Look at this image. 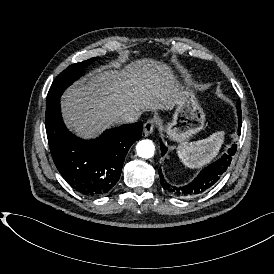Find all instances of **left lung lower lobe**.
<instances>
[{"instance_id": "left-lung-lower-lobe-1", "label": "left lung lower lobe", "mask_w": 274, "mask_h": 274, "mask_svg": "<svg viewBox=\"0 0 274 274\" xmlns=\"http://www.w3.org/2000/svg\"><path fill=\"white\" fill-rule=\"evenodd\" d=\"M237 110H238V118H239V126H238V134L241 133V103L238 99L237 101ZM161 143V152L164 155L167 151V147L160 141ZM237 149V145L233 144L230 149H228L227 154H224L219 160L210 166L206 167L201 171V173L188 185L183 187H175L170 186L163 177L161 169H159L158 173L160 176V183L164 189L170 191L176 196L182 197H191L201 195L207 192L225 173L228 166L231 163L232 156L235 154Z\"/></svg>"}]
</instances>
